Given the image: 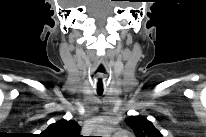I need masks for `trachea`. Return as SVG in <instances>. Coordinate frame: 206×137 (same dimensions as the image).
<instances>
[{
  "label": "trachea",
  "instance_id": "1",
  "mask_svg": "<svg viewBox=\"0 0 206 137\" xmlns=\"http://www.w3.org/2000/svg\"><path fill=\"white\" fill-rule=\"evenodd\" d=\"M97 71L103 73V72H104V69H103L102 66H100ZM98 88H100L101 91H98V90H97V94H98L99 96H101V95L103 94V81H102V78H98V81H97V89H98Z\"/></svg>",
  "mask_w": 206,
  "mask_h": 137
}]
</instances>
